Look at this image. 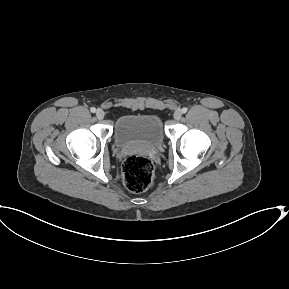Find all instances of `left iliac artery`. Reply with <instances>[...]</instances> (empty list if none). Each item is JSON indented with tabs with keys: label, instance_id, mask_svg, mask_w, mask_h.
I'll return each instance as SVG.
<instances>
[{
	"label": "left iliac artery",
	"instance_id": "1",
	"mask_svg": "<svg viewBox=\"0 0 289 289\" xmlns=\"http://www.w3.org/2000/svg\"><path fill=\"white\" fill-rule=\"evenodd\" d=\"M182 113H186L187 112V108L186 107H184V108H182Z\"/></svg>",
	"mask_w": 289,
	"mask_h": 289
}]
</instances>
